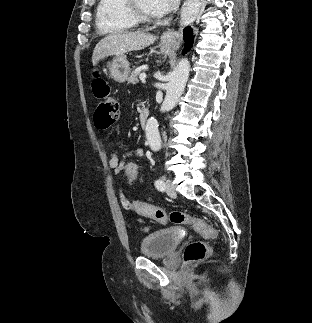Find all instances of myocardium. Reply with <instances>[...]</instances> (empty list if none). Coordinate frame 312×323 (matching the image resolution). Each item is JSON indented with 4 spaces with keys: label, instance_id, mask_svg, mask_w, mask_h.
Returning <instances> with one entry per match:
<instances>
[{
    "label": "myocardium",
    "instance_id": "f54148a6",
    "mask_svg": "<svg viewBox=\"0 0 312 323\" xmlns=\"http://www.w3.org/2000/svg\"><path fill=\"white\" fill-rule=\"evenodd\" d=\"M129 3H126L130 13H133L134 10V21L137 25H152L154 20L151 18L150 12H145L144 8H138L137 0H128Z\"/></svg>",
    "mask_w": 312,
    "mask_h": 323
}]
</instances>
